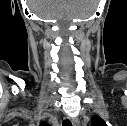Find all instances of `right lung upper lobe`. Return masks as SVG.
Masks as SVG:
<instances>
[{
    "mask_svg": "<svg viewBox=\"0 0 127 126\" xmlns=\"http://www.w3.org/2000/svg\"><path fill=\"white\" fill-rule=\"evenodd\" d=\"M40 126H49L47 123H42Z\"/></svg>",
    "mask_w": 127,
    "mask_h": 126,
    "instance_id": "right-lung-upper-lobe-1",
    "label": "right lung upper lobe"
}]
</instances>
